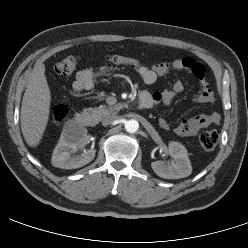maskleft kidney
<instances>
[{"instance_id":"obj_1","label":"left kidney","mask_w":248,"mask_h":248,"mask_svg":"<svg viewBox=\"0 0 248 248\" xmlns=\"http://www.w3.org/2000/svg\"><path fill=\"white\" fill-rule=\"evenodd\" d=\"M169 153L174 160L168 164L163 161L152 162L153 171L165 179H180L191 175L192 166L186 148L179 142H170Z\"/></svg>"}]
</instances>
